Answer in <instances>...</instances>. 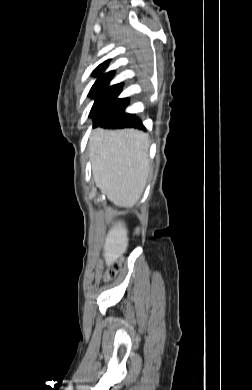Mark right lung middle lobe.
Segmentation results:
<instances>
[{
    "instance_id": "obj_1",
    "label": "right lung middle lobe",
    "mask_w": 252,
    "mask_h": 390,
    "mask_svg": "<svg viewBox=\"0 0 252 390\" xmlns=\"http://www.w3.org/2000/svg\"><path fill=\"white\" fill-rule=\"evenodd\" d=\"M128 101H101L95 102L90 116L93 118V126H101L124 112Z\"/></svg>"
}]
</instances>
